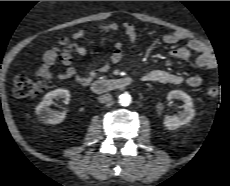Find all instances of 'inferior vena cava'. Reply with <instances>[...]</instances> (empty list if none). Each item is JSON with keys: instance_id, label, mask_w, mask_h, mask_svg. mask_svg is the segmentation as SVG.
<instances>
[{"instance_id": "obj_1", "label": "inferior vena cava", "mask_w": 230, "mask_h": 186, "mask_svg": "<svg viewBox=\"0 0 230 186\" xmlns=\"http://www.w3.org/2000/svg\"><path fill=\"white\" fill-rule=\"evenodd\" d=\"M98 100L101 102V103H107V102H110L112 100V95L109 94V93H106L104 95H101L98 97Z\"/></svg>"}]
</instances>
